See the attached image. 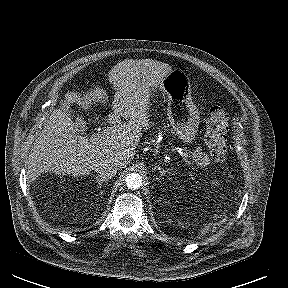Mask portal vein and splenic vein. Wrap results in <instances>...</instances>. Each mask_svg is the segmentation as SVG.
Returning a JSON list of instances; mask_svg holds the SVG:
<instances>
[{"instance_id": "1", "label": "portal vein and splenic vein", "mask_w": 288, "mask_h": 288, "mask_svg": "<svg viewBox=\"0 0 288 288\" xmlns=\"http://www.w3.org/2000/svg\"><path fill=\"white\" fill-rule=\"evenodd\" d=\"M101 134L98 132V133H94L91 137H90V140L92 141H98L99 139H101ZM184 162H185V165L188 167V168H191L193 169V163H191V161H189L188 159L184 158L183 159Z\"/></svg>"}]
</instances>
